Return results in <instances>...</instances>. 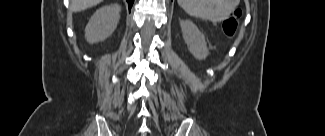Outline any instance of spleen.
Listing matches in <instances>:
<instances>
[{
    "mask_svg": "<svg viewBox=\"0 0 325 136\" xmlns=\"http://www.w3.org/2000/svg\"><path fill=\"white\" fill-rule=\"evenodd\" d=\"M180 7L190 16L219 23L229 15L223 0H178Z\"/></svg>",
    "mask_w": 325,
    "mask_h": 136,
    "instance_id": "obj_1",
    "label": "spleen"
}]
</instances>
